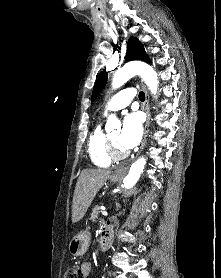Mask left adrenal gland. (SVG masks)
Instances as JSON below:
<instances>
[{
    "label": "left adrenal gland",
    "mask_w": 221,
    "mask_h": 278,
    "mask_svg": "<svg viewBox=\"0 0 221 278\" xmlns=\"http://www.w3.org/2000/svg\"><path fill=\"white\" fill-rule=\"evenodd\" d=\"M117 206H118V209L120 208V205L119 204H117Z\"/></svg>",
    "instance_id": "a2214340"
}]
</instances>
